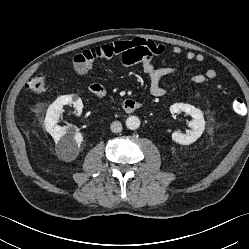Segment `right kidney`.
<instances>
[{"label": "right kidney", "mask_w": 249, "mask_h": 249, "mask_svg": "<svg viewBox=\"0 0 249 249\" xmlns=\"http://www.w3.org/2000/svg\"><path fill=\"white\" fill-rule=\"evenodd\" d=\"M73 104L77 110V115L82 113V100L76 95H63L58 97L47 109L44 125L46 131L56 142L58 155L66 161L74 160L83 141L81 133L73 127H61L57 124L60 117V111L64 105Z\"/></svg>", "instance_id": "right-kidney-1"}]
</instances>
